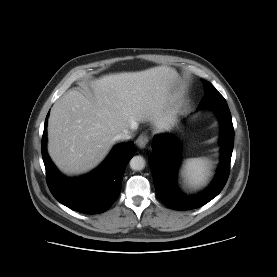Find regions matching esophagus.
<instances>
[{
	"label": "esophagus",
	"instance_id": "34e87169",
	"mask_svg": "<svg viewBox=\"0 0 277 277\" xmlns=\"http://www.w3.org/2000/svg\"><path fill=\"white\" fill-rule=\"evenodd\" d=\"M148 142H149V138L145 134L140 135L136 140L137 146L141 149L145 148Z\"/></svg>",
	"mask_w": 277,
	"mask_h": 277
}]
</instances>
